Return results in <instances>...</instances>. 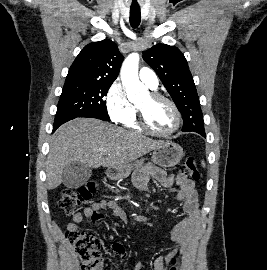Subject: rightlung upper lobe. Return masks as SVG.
Returning <instances> with one entry per match:
<instances>
[{
    "mask_svg": "<svg viewBox=\"0 0 267 270\" xmlns=\"http://www.w3.org/2000/svg\"><path fill=\"white\" fill-rule=\"evenodd\" d=\"M122 62L123 55L111 40L90 43L71 65L66 82L113 83Z\"/></svg>",
    "mask_w": 267,
    "mask_h": 270,
    "instance_id": "cb5924a9",
    "label": "right lung upper lobe"
}]
</instances>
